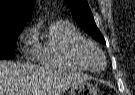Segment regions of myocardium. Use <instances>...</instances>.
<instances>
[{
	"mask_svg": "<svg viewBox=\"0 0 135 95\" xmlns=\"http://www.w3.org/2000/svg\"><path fill=\"white\" fill-rule=\"evenodd\" d=\"M73 55L77 59V61L85 68L92 72H100L102 71L106 66V58L102 52V50L96 46L94 43L88 40L77 42L73 45ZM90 51H94L98 53L102 59V66L99 69L92 68L87 61V53Z\"/></svg>",
	"mask_w": 135,
	"mask_h": 95,
	"instance_id": "obj_1",
	"label": "myocardium"
}]
</instances>
